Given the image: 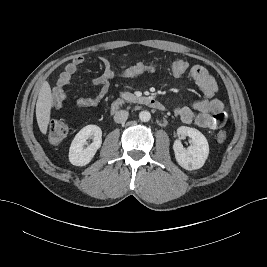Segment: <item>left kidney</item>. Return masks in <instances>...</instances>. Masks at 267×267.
Segmentation results:
<instances>
[{
    "label": "left kidney",
    "instance_id": "left-kidney-1",
    "mask_svg": "<svg viewBox=\"0 0 267 267\" xmlns=\"http://www.w3.org/2000/svg\"><path fill=\"white\" fill-rule=\"evenodd\" d=\"M177 134L181 138L185 136L191 138L192 145L185 149L180 140H176L173 145L176 161L186 170L200 169L209 154L206 137L199 130L186 126L179 127Z\"/></svg>",
    "mask_w": 267,
    "mask_h": 267
}]
</instances>
